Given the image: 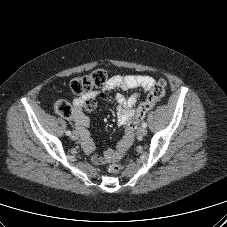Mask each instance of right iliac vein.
Masks as SVG:
<instances>
[{"mask_svg":"<svg viewBox=\"0 0 227 227\" xmlns=\"http://www.w3.org/2000/svg\"><path fill=\"white\" fill-rule=\"evenodd\" d=\"M71 139L72 140H77L79 138V133L78 131H74L72 134H71Z\"/></svg>","mask_w":227,"mask_h":227,"instance_id":"obj_1","label":"right iliac vein"}]
</instances>
